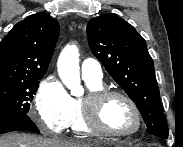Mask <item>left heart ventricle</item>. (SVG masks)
I'll return each mask as SVG.
<instances>
[{
	"instance_id": "obj_1",
	"label": "left heart ventricle",
	"mask_w": 183,
	"mask_h": 147,
	"mask_svg": "<svg viewBox=\"0 0 183 147\" xmlns=\"http://www.w3.org/2000/svg\"><path fill=\"white\" fill-rule=\"evenodd\" d=\"M101 117L108 128L118 132H131L137 127L132 108L120 97H112L103 103Z\"/></svg>"
}]
</instances>
